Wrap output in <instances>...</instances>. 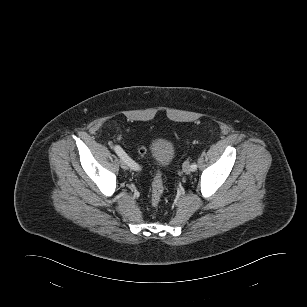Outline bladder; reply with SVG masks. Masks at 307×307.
Returning a JSON list of instances; mask_svg holds the SVG:
<instances>
[{
  "instance_id": "31cf9c89",
  "label": "bladder",
  "mask_w": 307,
  "mask_h": 307,
  "mask_svg": "<svg viewBox=\"0 0 307 307\" xmlns=\"http://www.w3.org/2000/svg\"><path fill=\"white\" fill-rule=\"evenodd\" d=\"M150 155L156 164L167 167L174 158L175 149L169 140L158 138L150 145Z\"/></svg>"
}]
</instances>
